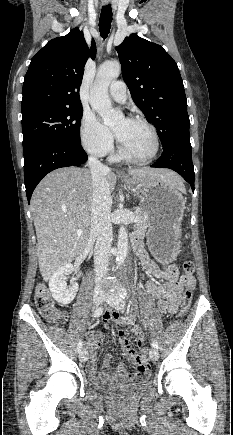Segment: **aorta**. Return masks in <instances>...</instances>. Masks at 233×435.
Instances as JSON below:
<instances>
[{"label": "aorta", "instance_id": "aorta-1", "mask_svg": "<svg viewBox=\"0 0 233 435\" xmlns=\"http://www.w3.org/2000/svg\"><path fill=\"white\" fill-rule=\"evenodd\" d=\"M121 72V65L118 61L105 63L98 69L94 85L90 90V105L102 118L103 123L112 126L123 119V113L115 110L109 99L108 88L112 80L116 79ZM128 232L124 225H121L118 233L117 243V265L121 266L127 256Z\"/></svg>", "mask_w": 233, "mask_h": 435}]
</instances>
